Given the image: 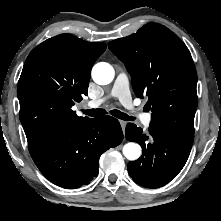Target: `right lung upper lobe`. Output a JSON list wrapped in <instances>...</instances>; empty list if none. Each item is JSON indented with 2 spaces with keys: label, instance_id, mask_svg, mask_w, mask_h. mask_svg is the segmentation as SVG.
<instances>
[{
  "label": "right lung upper lobe",
  "instance_id": "obj_1",
  "mask_svg": "<svg viewBox=\"0 0 221 221\" xmlns=\"http://www.w3.org/2000/svg\"><path fill=\"white\" fill-rule=\"evenodd\" d=\"M105 49L104 43L61 34L31 51L17 91L30 154L59 132L90 119L71 108L87 95L92 66Z\"/></svg>",
  "mask_w": 221,
  "mask_h": 221
}]
</instances>
